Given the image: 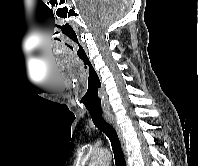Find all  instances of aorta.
Returning <instances> with one entry per match:
<instances>
[{"label": "aorta", "mask_w": 198, "mask_h": 166, "mask_svg": "<svg viewBox=\"0 0 198 166\" xmlns=\"http://www.w3.org/2000/svg\"><path fill=\"white\" fill-rule=\"evenodd\" d=\"M111 154L109 151H100L96 153L90 163V166H109Z\"/></svg>", "instance_id": "1"}]
</instances>
